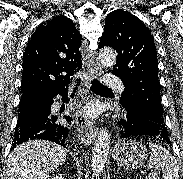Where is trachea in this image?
<instances>
[{
    "label": "trachea",
    "mask_w": 183,
    "mask_h": 179,
    "mask_svg": "<svg viewBox=\"0 0 183 179\" xmlns=\"http://www.w3.org/2000/svg\"><path fill=\"white\" fill-rule=\"evenodd\" d=\"M80 83V78L77 79V84L74 87L73 90H76L77 85ZM90 89L93 91H111V89H109L108 87L104 86L103 84H101L99 81H97L96 79L91 81V86Z\"/></svg>",
    "instance_id": "3493384b"
}]
</instances>
